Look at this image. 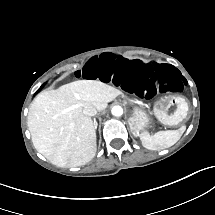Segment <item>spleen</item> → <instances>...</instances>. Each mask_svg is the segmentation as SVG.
Returning <instances> with one entry per match:
<instances>
[{"label":"spleen","instance_id":"spleen-1","mask_svg":"<svg viewBox=\"0 0 215 215\" xmlns=\"http://www.w3.org/2000/svg\"><path fill=\"white\" fill-rule=\"evenodd\" d=\"M182 136L181 129L159 131L154 135L144 131L140 134L142 145L149 150H162L173 146Z\"/></svg>","mask_w":215,"mask_h":215}]
</instances>
